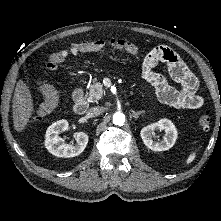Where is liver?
<instances>
[{"label": "liver", "mask_w": 221, "mask_h": 221, "mask_svg": "<svg viewBox=\"0 0 221 221\" xmlns=\"http://www.w3.org/2000/svg\"><path fill=\"white\" fill-rule=\"evenodd\" d=\"M29 87L23 80L16 84L13 100V123L16 131L21 132L25 129L33 113V103Z\"/></svg>", "instance_id": "liver-1"}]
</instances>
